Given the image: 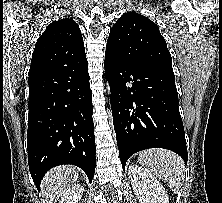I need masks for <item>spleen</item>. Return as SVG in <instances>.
I'll use <instances>...</instances> for the list:
<instances>
[{
	"label": "spleen",
	"mask_w": 222,
	"mask_h": 203,
	"mask_svg": "<svg viewBox=\"0 0 222 203\" xmlns=\"http://www.w3.org/2000/svg\"><path fill=\"white\" fill-rule=\"evenodd\" d=\"M138 162L150 173L167 182L177 192L185 181L186 167L180 156L162 148H152L139 153Z\"/></svg>",
	"instance_id": "3e777b00"
}]
</instances>
